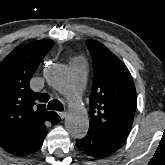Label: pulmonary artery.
<instances>
[{
	"label": "pulmonary artery",
	"mask_w": 165,
	"mask_h": 165,
	"mask_svg": "<svg viewBox=\"0 0 165 165\" xmlns=\"http://www.w3.org/2000/svg\"><path fill=\"white\" fill-rule=\"evenodd\" d=\"M74 78L77 83H80L85 73V64L81 59H74L70 63Z\"/></svg>",
	"instance_id": "1"
}]
</instances>
